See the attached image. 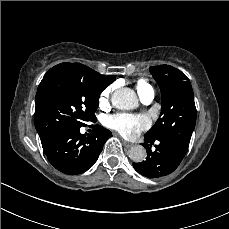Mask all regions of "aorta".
Masks as SVG:
<instances>
[{"mask_svg":"<svg viewBox=\"0 0 229 229\" xmlns=\"http://www.w3.org/2000/svg\"><path fill=\"white\" fill-rule=\"evenodd\" d=\"M112 105L120 110H130L138 106L135 92L130 88H121L112 95ZM146 157V150L141 145L132 146L129 149V158L134 162H141Z\"/></svg>","mask_w":229,"mask_h":229,"instance_id":"1","label":"aorta"}]
</instances>
